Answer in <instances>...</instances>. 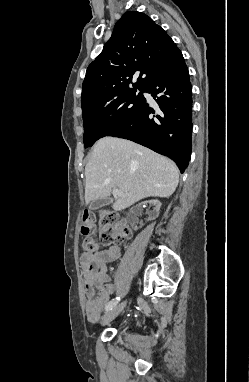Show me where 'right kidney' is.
Instances as JSON below:
<instances>
[{"mask_svg": "<svg viewBox=\"0 0 249 382\" xmlns=\"http://www.w3.org/2000/svg\"><path fill=\"white\" fill-rule=\"evenodd\" d=\"M143 205V207H142ZM134 204L131 210L127 213V221L130 225V228L132 230H140L143 228V225L145 223L144 217H139L138 214H146L147 210L149 208H152L153 205L156 206L153 211H150L148 220H154L159 216V210L161 207V203L158 200H153L152 198H145L143 201V204Z\"/></svg>", "mask_w": 249, "mask_h": 382, "instance_id": "1", "label": "right kidney"}]
</instances>
